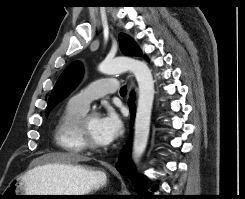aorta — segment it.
Segmentation results:
<instances>
[{
	"label": "aorta",
	"instance_id": "1",
	"mask_svg": "<svg viewBox=\"0 0 245 199\" xmlns=\"http://www.w3.org/2000/svg\"><path fill=\"white\" fill-rule=\"evenodd\" d=\"M98 70L106 75L130 71L137 80L138 105L135 118L133 158L135 162H138L139 158L146 150L150 131L151 113L155 94L151 70L146 63L130 57L105 59L98 66Z\"/></svg>",
	"mask_w": 245,
	"mask_h": 199
}]
</instances>
